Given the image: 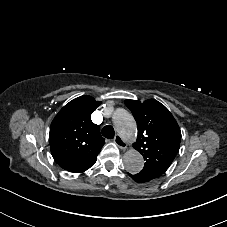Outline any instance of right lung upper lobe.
Here are the masks:
<instances>
[{"label":"right lung upper lobe","instance_id":"1","mask_svg":"<svg viewBox=\"0 0 227 227\" xmlns=\"http://www.w3.org/2000/svg\"><path fill=\"white\" fill-rule=\"evenodd\" d=\"M101 102L81 96L65 105L52 121L49 133L51 153L64 170L82 173L94 165L105 144L91 114Z\"/></svg>","mask_w":227,"mask_h":227}]
</instances>
